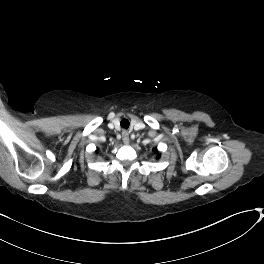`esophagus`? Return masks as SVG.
I'll return each instance as SVG.
<instances>
[{"instance_id": "34e87169", "label": "esophagus", "mask_w": 264, "mask_h": 264, "mask_svg": "<svg viewBox=\"0 0 264 264\" xmlns=\"http://www.w3.org/2000/svg\"><path fill=\"white\" fill-rule=\"evenodd\" d=\"M122 140H123L124 144H126V145H128L130 142L129 133L126 130L122 131Z\"/></svg>"}]
</instances>
